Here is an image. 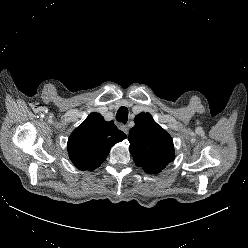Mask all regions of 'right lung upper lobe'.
I'll return each mask as SVG.
<instances>
[{
    "label": "right lung upper lobe",
    "instance_id": "obj_1",
    "mask_svg": "<svg viewBox=\"0 0 248 248\" xmlns=\"http://www.w3.org/2000/svg\"><path fill=\"white\" fill-rule=\"evenodd\" d=\"M125 138L113 121L91 113L68 139L69 158L78 169L92 171L105 161L111 147Z\"/></svg>",
    "mask_w": 248,
    "mask_h": 248
}]
</instances>
